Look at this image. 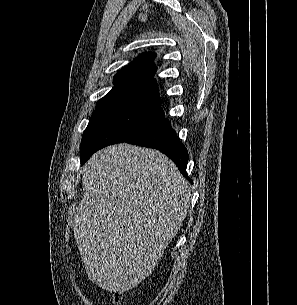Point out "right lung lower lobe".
Masks as SVG:
<instances>
[{
    "label": "right lung lower lobe",
    "mask_w": 297,
    "mask_h": 305,
    "mask_svg": "<svg viewBox=\"0 0 297 305\" xmlns=\"http://www.w3.org/2000/svg\"><path fill=\"white\" fill-rule=\"evenodd\" d=\"M124 142L154 148L166 154L175 162L180 172L192 183L186 173L188 151L183 143L179 141L168 119L163 118L146 131Z\"/></svg>",
    "instance_id": "1"
}]
</instances>
